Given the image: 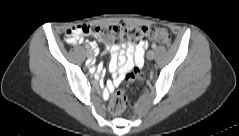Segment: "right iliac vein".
Wrapping results in <instances>:
<instances>
[{"label": "right iliac vein", "instance_id": "obj_1", "mask_svg": "<svg viewBox=\"0 0 239 136\" xmlns=\"http://www.w3.org/2000/svg\"><path fill=\"white\" fill-rule=\"evenodd\" d=\"M87 55H88V57H93L94 56V52L91 49H89L87 51Z\"/></svg>", "mask_w": 239, "mask_h": 136}]
</instances>
